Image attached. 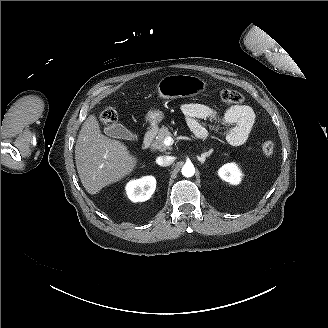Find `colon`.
<instances>
[{
  "label": "colon",
  "mask_w": 328,
  "mask_h": 328,
  "mask_svg": "<svg viewBox=\"0 0 328 328\" xmlns=\"http://www.w3.org/2000/svg\"><path fill=\"white\" fill-rule=\"evenodd\" d=\"M220 99L225 104H239L243 101V96L236 90L223 89L220 92ZM100 119L105 125L112 124L117 119V113L115 109L108 107L102 111ZM261 150L265 157H270L274 152V143L271 140L264 141Z\"/></svg>",
  "instance_id": "5ec220e1"
}]
</instances>
